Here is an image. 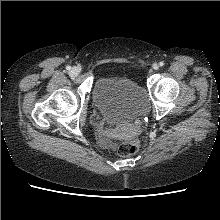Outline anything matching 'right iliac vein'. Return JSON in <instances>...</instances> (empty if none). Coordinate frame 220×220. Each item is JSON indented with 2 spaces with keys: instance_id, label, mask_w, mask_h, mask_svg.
Masks as SVG:
<instances>
[{
  "instance_id": "right-iliac-vein-1",
  "label": "right iliac vein",
  "mask_w": 220,
  "mask_h": 220,
  "mask_svg": "<svg viewBox=\"0 0 220 220\" xmlns=\"http://www.w3.org/2000/svg\"><path fill=\"white\" fill-rule=\"evenodd\" d=\"M79 72H80V69L78 67H73L70 71V74L72 76H77L79 74Z\"/></svg>"
}]
</instances>
